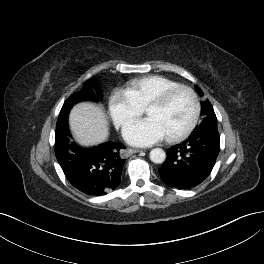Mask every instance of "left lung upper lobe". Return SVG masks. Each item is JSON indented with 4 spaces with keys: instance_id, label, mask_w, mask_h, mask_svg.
I'll list each match as a JSON object with an SVG mask.
<instances>
[{
    "instance_id": "left-lung-upper-lobe-1",
    "label": "left lung upper lobe",
    "mask_w": 264,
    "mask_h": 264,
    "mask_svg": "<svg viewBox=\"0 0 264 264\" xmlns=\"http://www.w3.org/2000/svg\"><path fill=\"white\" fill-rule=\"evenodd\" d=\"M197 89L200 96H203L202 90L199 87H197ZM201 113L204 116V119L201 122L200 126L208 125V124L217 125V118L209 100H206L201 103Z\"/></svg>"
}]
</instances>
